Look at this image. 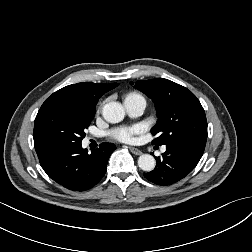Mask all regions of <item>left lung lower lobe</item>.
Here are the masks:
<instances>
[{
  "instance_id": "0a47b994",
  "label": "left lung lower lobe",
  "mask_w": 252,
  "mask_h": 252,
  "mask_svg": "<svg viewBox=\"0 0 252 252\" xmlns=\"http://www.w3.org/2000/svg\"><path fill=\"white\" fill-rule=\"evenodd\" d=\"M203 143L185 140L166 145L162 158H156L154 170L144 173L151 182L167 186L187 176L198 164L203 155Z\"/></svg>"
}]
</instances>
